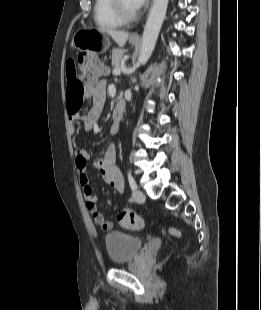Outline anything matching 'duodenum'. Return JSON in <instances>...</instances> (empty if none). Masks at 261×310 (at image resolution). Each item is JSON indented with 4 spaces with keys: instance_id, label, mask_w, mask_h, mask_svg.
Segmentation results:
<instances>
[{
    "instance_id": "obj_1",
    "label": "duodenum",
    "mask_w": 261,
    "mask_h": 310,
    "mask_svg": "<svg viewBox=\"0 0 261 310\" xmlns=\"http://www.w3.org/2000/svg\"><path fill=\"white\" fill-rule=\"evenodd\" d=\"M125 110V103L122 100H119L113 110V118L116 122H119L123 116Z\"/></svg>"
}]
</instances>
